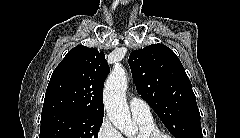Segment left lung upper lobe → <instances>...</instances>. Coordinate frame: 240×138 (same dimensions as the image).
<instances>
[{"instance_id":"5c2ea615","label":"left lung upper lobe","mask_w":240,"mask_h":138,"mask_svg":"<svg viewBox=\"0 0 240 138\" xmlns=\"http://www.w3.org/2000/svg\"><path fill=\"white\" fill-rule=\"evenodd\" d=\"M129 65L137 92L175 138H202L191 82L176 54L153 44L133 51Z\"/></svg>"}]
</instances>
